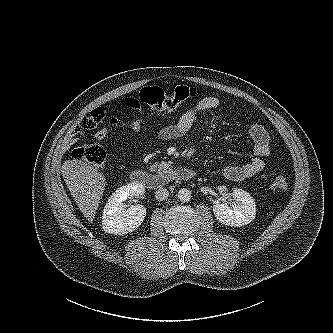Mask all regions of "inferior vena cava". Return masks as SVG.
Segmentation results:
<instances>
[{"mask_svg": "<svg viewBox=\"0 0 333 333\" xmlns=\"http://www.w3.org/2000/svg\"><path fill=\"white\" fill-rule=\"evenodd\" d=\"M168 196H169V191L167 189H165V188H159L155 192V197L159 201H163V200L167 199Z\"/></svg>", "mask_w": 333, "mask_h": 333, "instance_id": "1", "label": "inferior vena cava"}]
</instances>
